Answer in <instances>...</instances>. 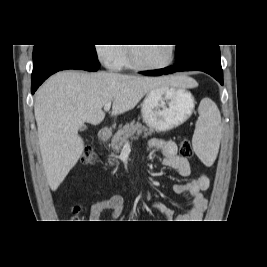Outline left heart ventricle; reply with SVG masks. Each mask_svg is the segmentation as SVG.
Masks as SVG:
<instances>
[{"mask_svg": "<svg viewBox=\"0 0 267 267\" xmlns=\"http://www.w3.org/2000/svg\"><path fill=\"white\" fill-rule=\"evenodd\" d=\"M136 59L146 65H160L165 63L170 56L168 44L158 46H134Z\"/></svg>", "mask_w": 267, "mask_h": 267, "instance_id": "left-heart-ventricle-1", "label": "left heart ventricle"}]
</instances>
